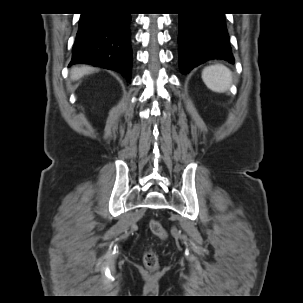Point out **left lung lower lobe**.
<instances>
[{
  "instance_id": "left-lung-lower-lobe-1",
  "label": "left lung lower lobe",
  "mask_w": 303,
  "mask_h": 303,
  "mask_svg": "<svg viewBox=\"0 0 303 303\" xmlns=\"http://www.w3.org/2000/svg\"><path fill=\"white\" fill-rule=\"evenodd\" d=\"M179 67L183 74L205 61L234 64L225 17L222 13L179 14Z\"/></svg>"
}]
</instances>
